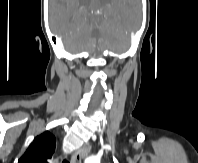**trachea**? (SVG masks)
Listing matches in <instances>:
<instances>
[{
	"label": "trachea",
	"instance_id": "3493384b",
	"mask_svg": "<svg viewBox=\"0 0 198 163\" xmlns=\"http://www.w3.org/2000/svg\"><path fill=\"white\" fill-rule=\"evenodd\" d=\"M63 163H69V161H66V160H65V161H63Z\"/></svg>",
	"mask_w": 198,
	"mask_h": 163
}]
</instances>
